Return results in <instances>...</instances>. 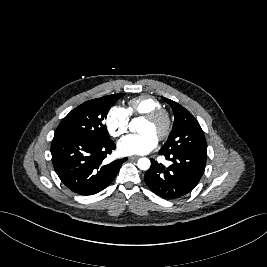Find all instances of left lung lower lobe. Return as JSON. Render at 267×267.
Here are the masks:
<instances>
[{
  "label": "left lung lower lobe",
  "instance_id": "1",
  "mask_svg": "<svg viewBox=\"0 0 267 267\" xmlns=\"http://www.w3.org/2000/svg\"><path fill=\"white\" fill-rule=\"evenodd\" d=\"M159 154L172 164L165 167L151 159V167L144 175L148 187L165 199H177L191 192L204 173L207 157L188 152Z\"/></svg>",
  "mask_w": 267,
  "mask_h": 267
}]
</instances>
